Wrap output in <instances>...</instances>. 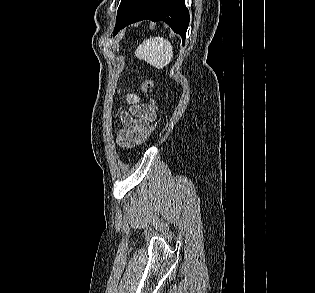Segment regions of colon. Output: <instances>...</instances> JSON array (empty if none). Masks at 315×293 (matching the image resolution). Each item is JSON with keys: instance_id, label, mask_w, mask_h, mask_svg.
I'll use <instances>...</instances> for the list:
<instances>
[{"instance_id": "5ec220e1", "label": "colon", "mask_w": 315, "mask_h": 293, "mask_svg": "<svg viewBox=\"0 0 315 293\" xmlns=\"http://www.w3.org/2000/svg\"><path fill=\"white\" fill-rule=\"evenodd\" d=\"M153 87H154V82L151 78H146L143 81L142 89L145 93L151 94ZM150 107H151L154 115L156 116V105H155V101L152 97H150ZM149 123H150V125L145 131L143 140L147 139L152 134L154 127H158V125H159L157 118H150Z\"/></svg>"}]
</instances>
